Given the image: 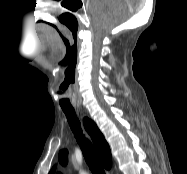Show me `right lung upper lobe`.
<instances>
[{"label": "right lung upper lobe", "instance_id": "right-lung-upper-lobe-1", "mask_svg": "<svg viewBox=\"0 0 187 174\" xmlns=\"http://www.w3.org/2000/svg\"><path fill=\"white\" fill-rule=\"evenodd\" d=\"M84 125L93 140L96 152L98 153L102 164L106 169H110L112 165L111 152L104 136L92 121H84Z\"/></svg>", "mask_w": 187, "mask_h": 174}]
</instances>
